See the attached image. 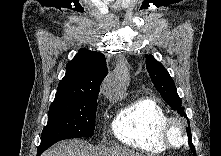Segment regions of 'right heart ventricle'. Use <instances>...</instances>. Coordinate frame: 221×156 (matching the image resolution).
<instances>
[{"label": "right heart ventricle", "mask_w": 221, "mask_h": 156, "mask_svg": "<svg viewBox=\"0 0 221 156\" xmlns=\"http://www.w3.org/2000/svg\"><path fill=\"white\" fill-rule=\"evenodd\" d=\"M167 111L155 99L138 98L116 115L112 130L124 145L148 154H161L168 150L161 138Z\"/></svg>", "instance_id": "obj_1"}]
</instances>
